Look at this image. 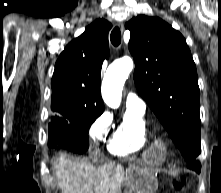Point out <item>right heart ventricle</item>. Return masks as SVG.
Here are the masks:
<instances>
[{
  "label": "right heart ventricle",
  "instance_id": "1",
  "mask_svg": "<svg viewBox=\"0 0 221 193\" xmlns=\"http://www.w3.org/2000/svg\"><path fill=\"white\" fill-rule=\"evenodd\" d=\"M149 140L144 112L127 109L122 121L112 134L107 149L116 156L138 154Z\"/></svg>",
  "mask_w": 221,
  "mask_h": 193
}]
</instances>
